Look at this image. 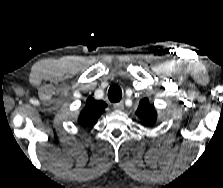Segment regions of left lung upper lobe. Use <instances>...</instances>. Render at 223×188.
Masks as SVG:
<instances>
[{
	"label": "left lung upper lobe",
	"instance_id": "left-lung-upper-lobe-1",
	"mask_svg": "<svg viewBox=\"0 0 223 188\" xmlns=\"http://www.w3.org/2000/svg\"><path fill=\"white\" fill-rule=\"evenodd\" d=\"M136 114L146 125H152L157 118L156 110L147 98L140 101Z\"/></svg>",
	"mask_w": 223,
	"mask_h": 188
}]
</instances>
